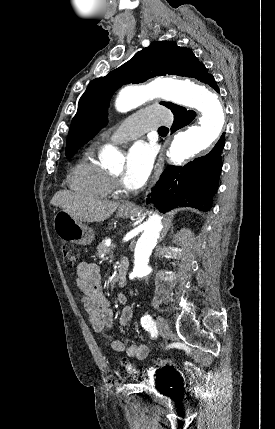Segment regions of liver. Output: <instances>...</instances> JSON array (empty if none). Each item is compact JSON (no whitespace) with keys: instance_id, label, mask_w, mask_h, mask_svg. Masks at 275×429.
<instances>
[{"instance_id":"liver-1","label":"liver","mask_w":275,"mask_h":429,"mask_svg":"<svg viewBox=\"0 0 275 429\" xmlns=\"http://www.w3.org/2000/svg\"><path fill=\"white\" fill-rule=\"evenodd\" d=\"M50 203L81 223L82 221L102 222L108 219L119 206V202L83 197L68 190L56 192Z\"/></svg>"}]
</instances>
